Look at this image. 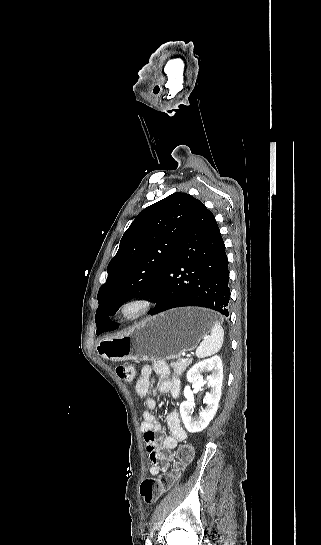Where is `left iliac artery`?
Returning <instances> with one entry per match:
<instances>
[{"label":"left iliac artery","instance_id":"1","mask_svg":"<svg viewBox=\"0 0 321 545\" xmlns=\"http://www.w3.org/2000/svg\"><path fill=\"white\" fill-rule=\"evenodd\" d=\"M146 545H152V544H151V541L149 540V538L146 539Z\"/></svg>","mask_w":321,"mask_h":545}]
</instances>
